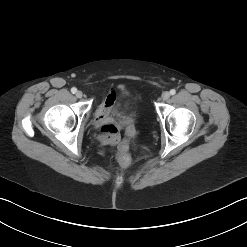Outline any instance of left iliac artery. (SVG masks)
<instances>
[{"instance_id":"1","label":"left iliac artery","mask_w":247,"mask_h":247,"mask_svg":"<svg viewBox=\"0 0 247 247\" xmlns=\"http://www.w3.org/2000/svg\"><path fill=\"white\" fill-rule=\"evenodd\" d=\"M175 93H176L175 89H171V90H170V94H171V95H174Z\"/></svg>"}]
</instances>
